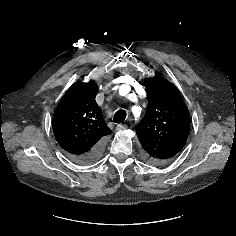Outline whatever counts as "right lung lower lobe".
<instances>
[{
	"mask_svg": "<svg viewBox=\"0 0 236 236\" xmlns=\"http://www.w3.org/2000/svg\"><path fill=\"white\" fill-rule=\"evenodd\" d=\"M105 140L98 142L90 151L81 155H71L69 157L77 164L88 165L96 162L103 154Z\"/></svg>",
	"mask_w": 236,
	"mask_h": 236,
	"instance_id": "1",
	"label": "right lung lower lobe"
}]
</instances>
